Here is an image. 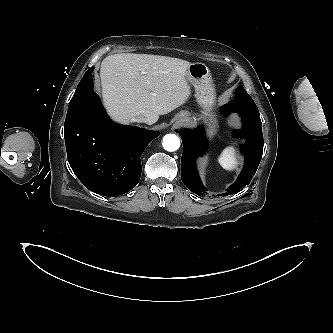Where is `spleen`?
<instances>
[{
  "label": "spleen",
  "mask_w": 333,
  "mask_h": 333,
  "mask_svg": "<svg viewBox=\"0 0 333 333\" xmlns=\"http://www.w3.org/2000/svg\"><path fill=\"white\" fill-rule=\"evenodd\" d=\"M218 162L226 170L232 171L237 169L239 162L235 148L233 146H227L220 154Z\"/></svg>",
  "instance_id": "3e777b00"
}]
</instances>
